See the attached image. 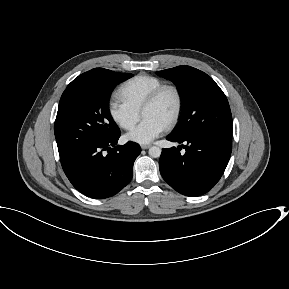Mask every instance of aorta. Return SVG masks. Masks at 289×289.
<instances>
[{"label":"aorta","instance_id":"1","mask_svg":"<svg viewBox=\"0 0 289 289\" xmlns=\"http://www.w3.org/2000/svg\"><path fill=\"white\" fill-rule=\"evenodd\" d=\"M149 155L153 158H158L161 155V149L157 146H152L149 148Z\"/></svg>","mask_w":289,"mask_h":289}]
</instances>
